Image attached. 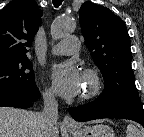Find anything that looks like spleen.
I'll use <instances>...</instances> for the list:
<instances>
[{
  "instance_id": "spleen-1",
  "label": "spleen",
  "mask_w": 144,
  "mask_h": 137,
  "mask_svg": "<svg viewBox=\"0 0 144 137\" xmlns=\"http://www.w3.org/2000/svg\"><path fill=\"white\" fill-rule=\"evenodd\" d=\"M126 137H144V132L133 124L127 125Z\"/></svg>"
}]
</instances>
